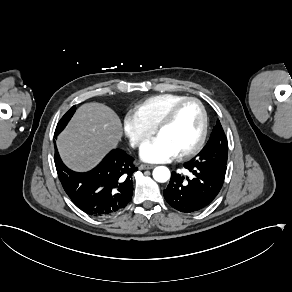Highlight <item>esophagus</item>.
Wrapping results in <instances>:
<instances>
[{
  "label": "esophagus",
  "instance_id": "1",
  "mask_svg": "<svg viewBox=\"0 0 292 292\" xmlns=\"http://www.w3.org/2000/svg\"><path fill=\"white\" fill-rule=\"evenodd\" d=\"M154 167H155V165H151V164H141L139 166V170H148V169H152Z\"/></svg>",
  "mask_w": 292,
  "mask_h": 292
}]
</instances>
